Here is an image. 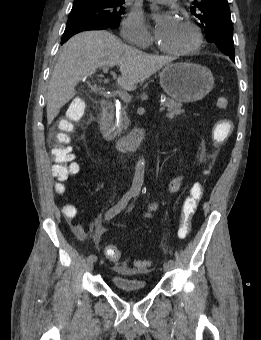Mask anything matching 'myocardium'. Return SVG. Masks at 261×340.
Listing matches in <instances>:
<instances>
[{
	"instance_id": "obj_1",
	"label": "myocardium",
	"mask_w": 261,
	"mask_h": 340,
	"mask_svg": "<svg viewBox=\"0 0 261 340\" xmlns=\"http://www.w3.org/2000/svg\"><path fill=\"white\" fill-rule=\"evenodd\" d=\"M182 24L188 27L192 31L193 36H194L193 44L190 47L185 48V49L171 50V49L165 48L160 42H158V48L162 52L170 54V55H174V56H187V55H191L195 53L201 47L203 43V35H202V31L199 28V26L191 20H184L182 21Z\"/></svg>"
}]
</instances>
